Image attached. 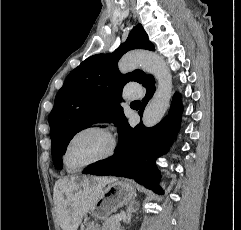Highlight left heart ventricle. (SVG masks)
Segmentation results:
<instances>
[{"mask_svg":"<svg viewBox=\"0 0 241 230\" xmlns=\"http://www.w3.org/2000/svg\"><path fill=\"white\" fill-rule=\"evenodd\" d=\"M110 146L106 134L97 130L83 132L76 136L68 149L67 162L69 167L76 168L88 161L100 157Z\"/></svg>","mask_w":241,"mask_h":230,"instance_id":"obj_1","label":"left heart ventricle"}]
</instances>
